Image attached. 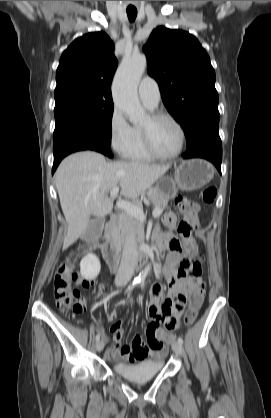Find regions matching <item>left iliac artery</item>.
I'll return each mask as SVG.
<instances>
[{
	"mask_svg": "<svg viewBox=\"0 0 271 418\" xmlns=\"http://www.w3.org/2000/svg\"><path fill=\"white\" fill-rule=\"evenodd\" d=\"M140 285H141V287H142V288H144V281H141V282H140ZM177 341H178L180 344H183V339H182L181 337H178Z\"/></svg>",
	"mask_w": 271,
	"mask_h": 418,
	"instance_id": "44dca946",
	"label": "left iliac artery"
}]
</instances>
